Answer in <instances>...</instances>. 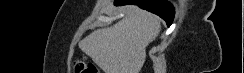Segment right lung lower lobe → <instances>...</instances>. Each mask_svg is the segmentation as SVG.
Returning <instances> with one entry per match:
<instances>
[{
  "mask_svg": "<svg viewBox=\"0 0 244 73\" xmlns=\"http://www.w3.org/2000/svg\"><path fill=\"white\" fill-rule=\"evenodd\" d=\"M116 5L136 4L159 15L170 26L174 18V7L166 0H115Z\"/></svg>",
  "mask_w": 244,
  "mask_h": 73,
  "instance_id": "1",
  "label": "right lung lower lobe"
}]
</instances>
